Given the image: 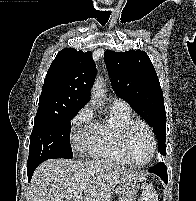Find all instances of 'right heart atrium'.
I'll return each instance as SVG.
<instances>
[{
	"mask_svg": "<svg viewBox=\"0 0 196 201\" xmlns=\"http://www.w3.org/2000/svg\"><path fill=\"white\" fill-rule=\"evenodd\" d=\"M94 128L93 111L89 105H85L72 118L70 124L71 143L75 152L82 153L88 149Z\"/></svg>",
	"mask_w": 196,
	"mask_h": 201,
	"instance_id": "right-heart-atrium-1",
	"label": "right heart atrium"
}]
</instances>
